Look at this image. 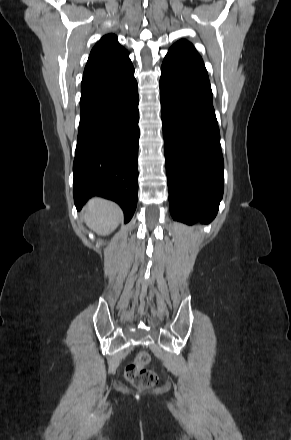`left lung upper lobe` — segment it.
<instances>
[{
  "label": "left lung upper lobe",
  "instance_id": "1",
  "mask_svg": "<svg viewBox=\"0 0 291 440\" xmlns=\"http://www.w3.org/2000/svg\"><path fill=\"white\" fill-rule=\"evenodd\" d=\"M169 54L184 56V57H192L202 60L201 56L197 53L194 46L184 40L181 39L176 42L169 50Z\"/></svg>",
  "mask_w": 291,
  "mask_h": 440
}]
</instances>
